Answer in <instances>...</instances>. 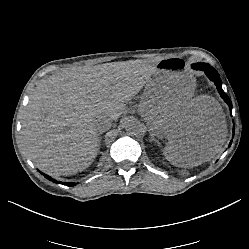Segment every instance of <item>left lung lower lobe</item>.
<instances>
[{"label":"left lung lower lobe","mask_w":249,"mask_h":249,"mask_svg":"<svg viewBox=\"0 0 249 249\" xmlns=\"http://www.w3.org/2000/svg\"><path fill=\"white\" fill-rule=\"evenodd\" d=\"M195 69L205 71L208 78L215 83L219 94L224 99V101L228 104V106L231 110L232 109L231 101H230L229 97L227 96V94L222 89V82H221V79H220L218 72L213 67H211L209 64L198 65L195 67ZM233 133H234V129H233ZM231 143H232V140L229 144V147H230Z\"/></svg>","instance_id":"left-lung-lower-lobe-1"}]
</instances>
